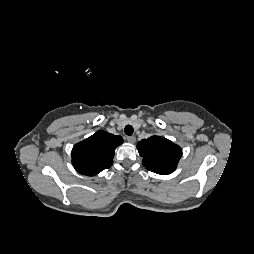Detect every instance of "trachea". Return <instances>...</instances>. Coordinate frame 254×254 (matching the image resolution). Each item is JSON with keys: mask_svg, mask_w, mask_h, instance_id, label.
Instances as JSON below:
<instances>
[{"mask_svg": "<svg viewBox=\"0 0 254 254\" xmlns=\"http://www.w3.org/2000/svg\"><path fill=\"white\" fill-rule=\"evenodd\" d=\"M125 134L126 135H132L133 134V127L131 126V125H127L126 127H125Z\"/></svg>", "mask_w": 254, "mask_h": 254, "instance_id": "trachea-1", "label": "trachea"}]
</instances>
